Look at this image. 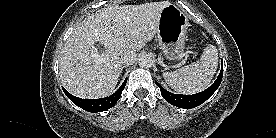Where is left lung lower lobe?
I'll list each match as a JSON object with an SVG mask.
<instances>
[{
	"label": "left lung lower lobe",
	"instance_id": "0a47b994",
	"mask_svg": "<svg viewBox=\"0 0 276 138\" xmlns=\"http://www.w3.org/2000/svg\"><path fill=\"white\" fill-rule=\"evenodd\" d=\"M222 76L223 62L222 69L216 81L205 91L193 95L173 94L165 90L158 82L155 83L160 88L161 95L163 96V98L166 99V101H168L170 104L180 108L191 109L199 106L213 95V93L217 90L221 83Z\"/></svg>",
	"mask_w": 276,
	"mask_h": 138
}]
</instances>
